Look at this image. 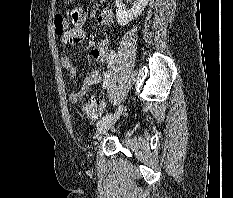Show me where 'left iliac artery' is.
<instances>
[{
  "label": "left iliac artery",
  "instance_id": "obj_1",
  "mask_svg": "<svg viewBox=\"0 0 233 198\" xmlns=\"http://www.w3.org/2000/svg\"><path fill=\"white\" fill-rule=\"evenodd\" d=\"M106 85H107V81H105V82L103 83V87H105ZM110 115H111V113L105 115V116L98 122V124H100V123H101L102 121H104V120H107V119L109 118Z\"/></svg>",
  "mask_w": 233,
  "mask_h": 198
}]
</instances>
